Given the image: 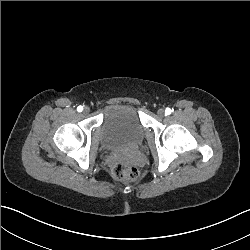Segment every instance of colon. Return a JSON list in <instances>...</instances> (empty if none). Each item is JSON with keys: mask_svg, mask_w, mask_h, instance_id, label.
I'll return each instance as SVG.
<instances>
[{"mask_svg": "<svg viewBox=\"0 0 250 250\" xmlns=\"http://www.w3.org/2000/svg\"><path fill=\"white\" fill-rule=\"evenodd\" d=\"M139 176V170L125 159H118L110 167V177L116 183H130Z\"/></svg>", "mask_w": 250, "mask_h": 250, "instance_id": "1", "label": "colon"}]
</instances>
